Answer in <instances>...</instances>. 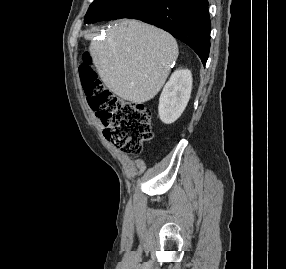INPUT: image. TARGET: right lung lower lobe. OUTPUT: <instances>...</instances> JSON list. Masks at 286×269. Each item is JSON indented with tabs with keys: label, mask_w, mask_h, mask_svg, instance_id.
<instances>
[{
	"label": "right lung lower lobe",
	"mask_w": 286,
	"mask_h": 269,
	"mask_svg": "<svg viewBox=\"0 0 286 269\" xmlns=\"http://www.w3.org/2000/svg\"><path fill=\"white\" fill-rule=\"evenodd\" d=\"M128 18L158 26L189 45L206 64L210 49L207 0H153Z\"/></svg>",
	"instance_id": "98d812e1"
}]
</instances>
